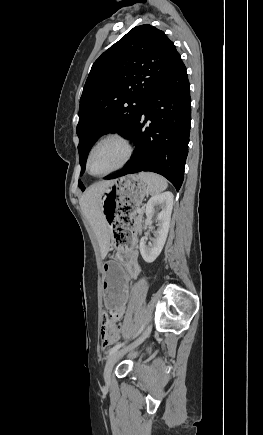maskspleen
Instances as JSON below:
<instances>
[{"label":"spleen","instance_id":"3e777b00","mask_svg":"<svg viewBox=\"0 0 263 435\" xmlns=\"http://www.w3.org/2000/svg\"><path fill=\"white\" fill-rule=\"evenodd\" d=\"M138 177L147 185L148 191L152 195L164 191L168 186L167 180L155 173L141 172Z\"/></svg>","mask_w":263,"mask_h":435}]
</instances>
